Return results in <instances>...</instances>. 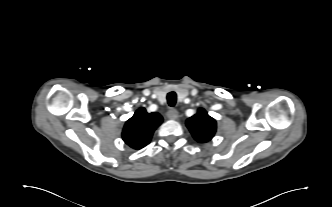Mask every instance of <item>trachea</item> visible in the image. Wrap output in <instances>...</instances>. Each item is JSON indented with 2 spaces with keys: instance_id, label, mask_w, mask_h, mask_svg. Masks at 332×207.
<instances>
[{
  "instance_id": "1",
  "label": "trachea",
  "mask_w": 332,
  "mask_h": 207,
  "mask_svg": "<svg viewBox=\"0 0 332 207\" xmlns=\"http://www.w3.org/2000/svg\"><path fill=\"white\" fill-rule=\"evenodd\" d=\"M177 96L175 92H170L167 95L168 105L173 107L176 104Z\"/></svg>"
}]
</instances>
